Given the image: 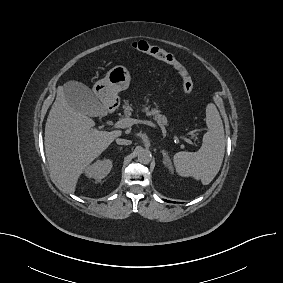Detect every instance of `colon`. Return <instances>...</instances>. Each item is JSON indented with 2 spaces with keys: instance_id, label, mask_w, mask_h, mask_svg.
Returning a JSON list of instances; mask_svg holds the SVG:
<instances>
[{
  "instance_id": "obj_1",
  "label": "colon",
  "mask_w": 283,
  "mask_h": 283,
  "mask_svg": "<svg viewBox=\"0 0 283 283\" xmlns=\"http://www.w3.org/2000/svg\"><path fill=\"white\" fill-rule=\"evenodd\" d=\"M132 48L138 52L150 55L165 64L172 67L181 79L182 89L186 94H192L194 91V82L187 69L170 52L162 47L152 44L145 40H139L132 43Z\"/></svg>"
}]
</instances>
